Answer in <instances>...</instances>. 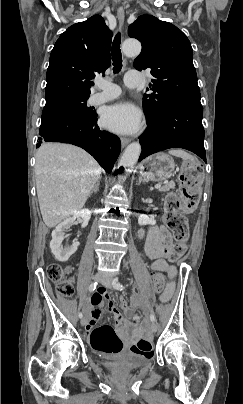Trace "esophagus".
<instances>
[{"mask_svg":"<svg viewBox=\"0 0 243 404\" xmlns=\"http://www.w3.org/2000/svg\"><path fill=\"white\" fill-rule=\"evenodd\" d=\"M117 17L119 21L120 28H122L125 20V11L123 7H119L117 10ZM130 142V139L127 138H122L121 139V145L122 147H125L128 143Z\"/></svg>","mask_w":243,"mask_h":404,"instance_id":"1","label":"esophagus"}]
</instances>
